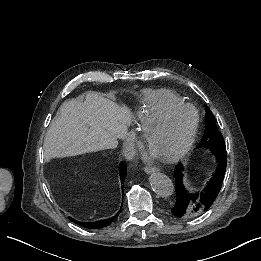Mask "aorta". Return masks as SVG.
Segmentation results:
<instances>
[{"label":"aorta","mask_w":261,"mask_h":261,"mask_svg":"<svg viewBox=\"0 0 261 261\" xmlns=\"http://www.w3.org/2000/svg\"><path fill=\"white\" fill-rule=\"evenodd\" d=\"M149 182L153 191L161 197H169L174 193L172 180L163 173H152Z\"/></svg>","instance_id":"762f6f07"}]
</instances>
